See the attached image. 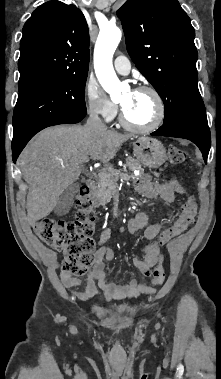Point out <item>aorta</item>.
Listing matches in <instances>:
<instances>
[{
    "mask_svg": "<svg viewBox=\"0 0 221 379\" xmlns=\"http://www.w3.org/2000/svg\"><path fill=\"white\" fill-rule=\"evenodd\" d=\"M122 33L116 26L100 30L94 50V68L97 79L112 100L121 96L120 81L114 71L113 54L121 40Z\"/></svg>",
    "mask_w": 221,
    "mask_h": 379,
    "instance_id": "obj_1",
    "label": "aorta"
}]
</instances>
